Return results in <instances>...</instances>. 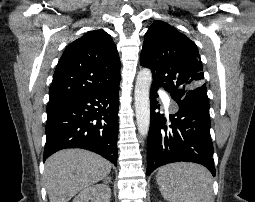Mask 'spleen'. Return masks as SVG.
I'll return each mask as SVG.
<instances>
[{
	"label": "spleen",
	"mask_w": 255,
	"mask_h": 202,
	"mask_svg": "<svg viewBox=\"0 0 255 202\" xmlns=\"http://www.w3.org/2000/svg\"><path fill=\"white\" fill-rule=\"evenodd\" d=\"M157 183L169 202H211L212 176L203 166L174 163L159 169Z\"/></svg>",
	"instance_id": "3e777b00"
}]
</instances>
